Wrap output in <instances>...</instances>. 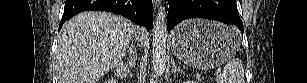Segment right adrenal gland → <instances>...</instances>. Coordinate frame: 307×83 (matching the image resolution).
<instances>
[{
	"label": "right adrenal gland",
	"mask_w": 307,
	"mask_h": 83,
	"mask_svg": "<svg viewBox=\"0 0 307 83\" xmlns=\"http://www.w3.org/2000/svg\"><path fill=\"white\" fill-rule=\"evenodd\" d=\"M136 60L137 58H136L135 52L130 53L129 59L127 60V62L129 63V66L130 67L135 66Z\"/></svg>",
	"instance_id": "2a0ac1e0"
}]
</instances>
